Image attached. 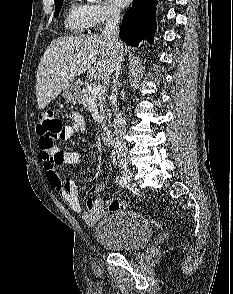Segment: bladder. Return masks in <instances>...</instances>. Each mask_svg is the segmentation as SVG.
Returning a JSON list of instances; mask_svg holds the SVG:
<instances>
[{"instance_id":"31cf9c89","label":"bladder","mask_w":233,"mask_h":294,"mask_svg":"<svg viewBox=\"0 0 233 294\" xmlns=\"http://www.w3.org/2000/svg\"><path fill=\"white\" fill-rule=\"evenodd\" d=\"M153 229L139 213L131 210L114 211L94 227V237L104 248L116 252H133L144 247L152 238Z\"/></svg>"}]
</instances>
